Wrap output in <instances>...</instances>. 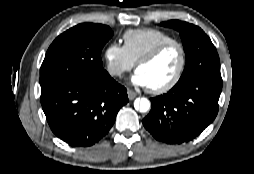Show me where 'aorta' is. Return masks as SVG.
<instances>
[{"mask_svg":"<svg viewBox=\"0 0 254 174\" xmlns=\"http://www.w3.org/2000/svg\"><path fill=\"white\" fill-rule=\"evenodd\" d=\"M134 107L141 113H145L150 110L151 103L147 98H138L134 102Z\"/></svg>","mask_w":254,"mask_h":174,"instance_id":"1","label":"aorta"}]
</instances>
